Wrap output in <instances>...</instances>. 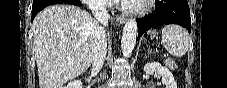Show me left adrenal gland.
Returning <instances> with one entry per match:
<instances>
[{
    "mask_svg": "<svg viewBox=\"0 0 227 88\" xmlns=\"http://www.w3.org/2000/svg\"><path fill=\"white\" fill-rule=\"evenodd\" d=\"M148 53H151V51H150V50H148Z\"/></svg>",
    "mask_w": 227,
    "mask_h": 88,
    "instance_id": "1",
    "label": "left adrenal gland"
}]
</instances>
